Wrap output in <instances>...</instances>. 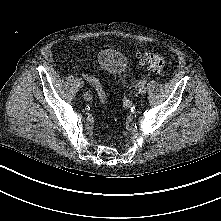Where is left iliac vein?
Wrapping results in <instances>:
<instances>
[{
    "instance_id": "left-iliac-vein-1",
    "label": "left iliac vein",
    "mask_w": 221,
    "mask_h": 221,
    "mask_svg": "<svg viewBox=\"0 0 221 221\" xmlns=\"http://www.w3.org/2000/svg\"><path fill=\"white\" fill-rule=\"evenodd\" d=\"M146 90H147L146 86H145V85H142V86L138 89V93H139L140 95H143V94L146 93Z\"/></svg>"
}]
</instances>
